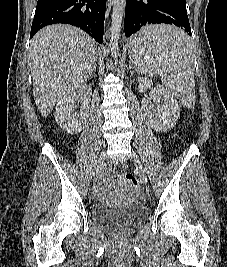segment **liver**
I'll list each match as a JSON object with an SVG mask.
<instances>
[{
	"mask_svg": "<svg viewBox=\"0 0 227 267\" xmlns=\"http://www.w3.org/2000/svg\"><path fill=\"white\" fill-rule=\"evenodd\" d=\"M29 60L35 103L47 117L64 95L89 77L96 61V43L71 25H49L34 35Z\"/></svg>",
	"mask_w": 227,
	"mask_h": 267,
	"instance_id": "6515ba94",
	"label": "liver"
}]
</instances>
